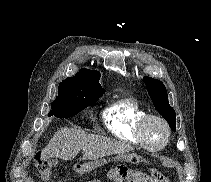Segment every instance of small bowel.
<instances>
[{
    "mask_svg": "<svg viewBox=\"0 0 211 182\" xmlns=\"http://www.w3.org/2000/svg\"><path fill=\"white\" fill-rule=\"evenodd\" d=\"M113 173H114V171H111V172L109 173L108 176H109L110 179H113V178H112ZM113 180H114V179H113ZM119 182H122V181H119Z\"/></svg>",
    "mask_w": 211,
    "mask_h": 182,
    "instance_id": "small-bowel-1",
    "label": "small bowel"
}]
</instances>
